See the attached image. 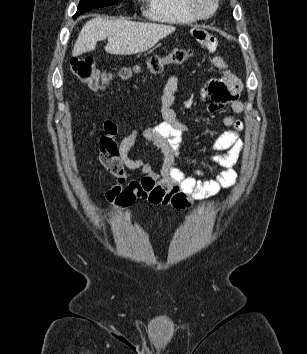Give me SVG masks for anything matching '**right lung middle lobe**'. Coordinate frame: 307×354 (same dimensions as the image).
Wrapping results in <instances>:
<instances>
[{
  "mask_svg": "<svg viewBox=\"0 0 307 354\" xmlns=\"http://www.w3.org/2000/svg\"><path fill=\"white\" fill-rule=\"evenodd\" d=\"M118 0H81L74 17L95 8H101L116 3Z\"/></svg>",
  "mask_w": 307,
  "mask_h": 354,
  "instance_id": "1",
  "label": "right lung middle lobe"
}]
</instances>
